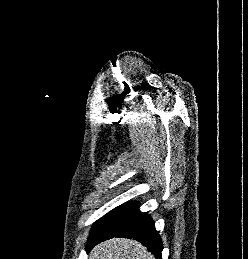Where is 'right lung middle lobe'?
Masks as SVG:
<instances>
[{
	"label": "right lung middle lobe",
	"instance_id": "right-lung-middle-lobe-1",
	"mask_svg": "<svg viewBox=\"0 0 248 259\" xmlns=\"http://www.w3.org/2000/svg\"><path fill=\"white\" fill-rule=\"evenodd\" d=\"M102 219H103V218H102ZM102 219H101V220H102ZM101 220H99V221H97V222L95 223V225L93 226L91 232L98 226V224L100 223Z\"/></svg>",
	"mask_w": 248,
	"mask_h": 259
}]
</instances>
